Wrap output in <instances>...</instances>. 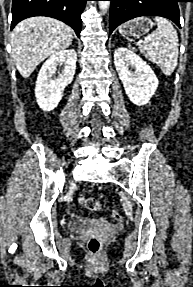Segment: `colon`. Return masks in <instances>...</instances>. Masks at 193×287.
<instances>
[{
	"mask_svg": "<svg viewBox=\"0 0 193 287\" xmlns=\"http://www.w3.org/2000/svg\"><path fill=\"white\" fill-rule=\"evenodd\" d=\"M78 202L90 211H98L100 209L99 202L92 197L79 196ZM112 216L116 220L122 219L119 211H113ZM87 246L92 253H97L102 246V241L98 237L92 236L88 239Z\"/></svg>",
	"mask_w": 193,
	"mask_h": 287,
	"instance_id": "colon-1",
	"label": "colon"
}]
</instances>
